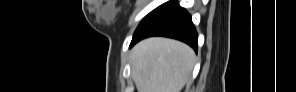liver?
Returning <instances> with one entry per match:
<instances>
[{"label":"liver","instance_id":"obj_1","mask_svg":"<svg viewBox=\"0 0 296 92\" xmlns=\"http://www.w3.org/2000/svg\"><path fill=\"white\" fill-rule=\"evenodd\" d=\"M196 56L177 40L151 37L131 51L132 78L138 92H180L190 79Z\"/></svg>","mask_w":296,"mask_h":92}]
</instances>
